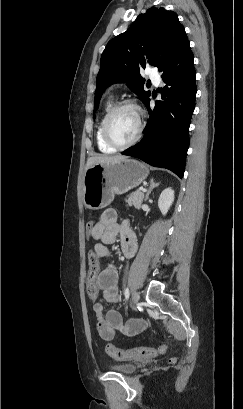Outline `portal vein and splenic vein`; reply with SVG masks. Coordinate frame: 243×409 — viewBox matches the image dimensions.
Returning <instances> with one entry per match:
<instances>
[{"instance_id": "obj_1", "label": "portal vein and splenic vein", "mask_w": 243, "mask_h": 409, "mask_svg": "<svg viewBox=\"0 0 243 409\" xmlns=\"http://www.w3.org/2000/svg\"><path fill=\"white\" fill-rule=\"evenodd\" d=\"M139 190L142 191V192H146V191H147V190H146L145 188H143V187L139 188Z\"/></svg>"}]
</instances>
